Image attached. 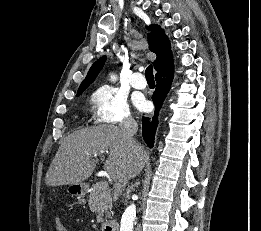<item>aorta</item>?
<instances>
[{"instance_id": "1", "label": "aorta", "mask_w": 261, "mask_h": 231, "mask_svg": "<svg viewBox=\"0 0 261 231\" xmlns=\"http://www.w3.org/2000/svg\"><path fill=\"white\" fill-rule=\"evenodd\" d=\"M111 80H116L115 76H111ZM136 216V206L130 204L124 211L121 218L120 231H133V222Z\"/></svg>"}]
</instances>
